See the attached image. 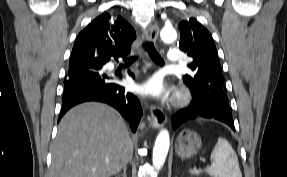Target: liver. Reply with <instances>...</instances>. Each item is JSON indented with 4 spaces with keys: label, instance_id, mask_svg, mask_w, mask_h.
Returning <instances> with one entry per match:
<instances>
[{
    "label": "liver",
    "instance_id": "6515ba94",
    "mask_svg": "<svg viewBox=\"0 0 287 177\" xmlns=\"http://www.w3.org/2000/svg\"><path fill=\"white\" fill-rule=\"evenodd\" d=\"M51 153L48 177H110L132 159L133 143L115 109L90 102L64 115Z\"/></svg>",
    "mask_w": 287,
    "mask_h": 177
}]
</instances>
